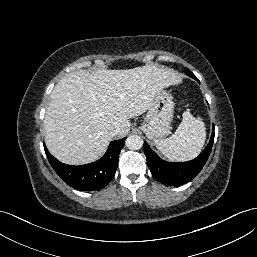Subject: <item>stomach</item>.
I'll use <instances>...</instances> for the list:
<instances>
[{"label":"stomach","mask_w":257,"mask_h":257,"mask_svg":"<svg viewBox=\"0 0 257 257\" xmlns=\"http://www.w3.org/2000/svg\"><path fill=\"white\" fill-rule=\"evenodd\" d=\"M173 112L174 103L171 94L163 89L158 91L152 100L141 129L153 141L165 138L170 133Z\"/></svg>","instance_id":"stomach-1"}]
</instances>
